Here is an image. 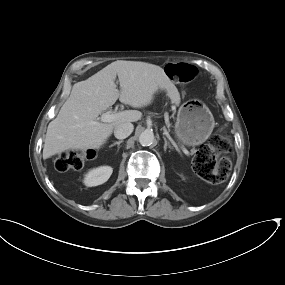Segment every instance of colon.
<instances>
[{"label":"colon","mask_w":285,"mask_h":285,"mask_svg":"<svg viewBox=\"0 0 285 285\" xmlns=\"http://www.w3.org/2000/svg\"><path fill=\"white\" fill-rule=\"evenodd\" d=\"M167 71L172 78L181 83L190 82L194 76L193 67L187 64H168ZM232 144L224 128L219 129L208 144L198 148L193 160V169L204 180L221 183L228 177L231 170L229 154ZM85 153L75 150L62 152L55 160L59 171L81 169L85 161Z\"/></svg>","instance_id":"5ec220e1"}]
</instances>
